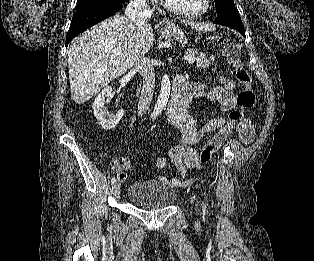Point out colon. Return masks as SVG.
I'll return each instance as SVG.
<instances>
[{
  "label": "colon",
  "mask_w": 314,
  "mask_h": 261,
  "mask_svg": "<svg viewBox=\"0 0 314 261\" xmlns=\"http://www.w3.org/2000/svg\"><path fill=\"white\" fill-rule=\"evenodd\" d=\"M225 57L233 68V76L241 85V90L237 95L236 107L229 113L227 121L200 151L197 157V163L200 165L208 163L220 150L235 125L242 119L244 111L252 108L255 103L252 77L241 61L240 44L237 40H225Z\"/></svg>",
  "instance_id": "colon-1"
}]
</instances>
